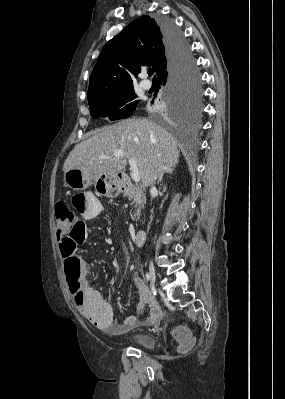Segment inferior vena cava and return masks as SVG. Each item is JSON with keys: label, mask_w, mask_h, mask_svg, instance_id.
Masks as SVG:
<instances>
[{"label": "inferior vena cava", "mask_w": 285, "mask_h": 399, "mask_svg": "<svg viewBox=\"0 0 285 399\" xmlns=\"http://www.w3.org/2000/svg\"><path fill=\"white\" fill-rule=\"evenodd\" d=\"M155 192H156V188H155V186H152L150 189L151 195L153 196Z\"/></svg>", "instance_id": "obj_1"}]
</instances>
